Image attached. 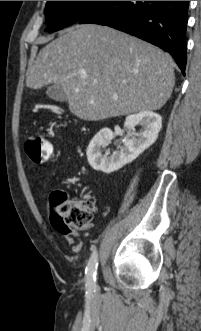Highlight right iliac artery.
I'll return each mask as SVG.
<instances>
[{
	"label": "right iliac artery",
	"instance_id": "right-iliac-artery-1",
	"mask_svg": "<svg viewBox=\"0 0 201 331\" xmlns=\"http://www.w3.org/2000/svg\"><path fill=\"white\" fill-rule=\"evenodd\" d=\"M97 266H98V253L96 248H94L85 270L87 287L90 291H95L96 289Z\"/></svg>",
	"mask_w": 201,
	"mask_h": 331
}]
</instances>
